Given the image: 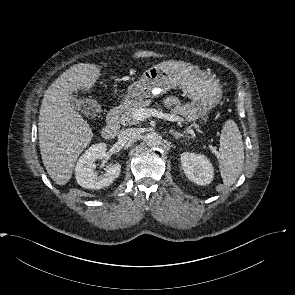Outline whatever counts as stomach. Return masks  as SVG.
Segmentation results:
<instances>
[{"instance_id": "stomach-1", "label": "stomach", "mask_w": 295, "mask_h": 295, "mask_svg": "<svg viewBox=\"0 0 295 295\" xmlns=\"http://www.w3.org/2000/svg\"><path fill=\"white\" fill-rule=\"evenodd\" d=\"M179 87L196 106L198 117L207 122L208 113L222 98L218 81L197 66L183 61H164L145 70L133 82L124 97L125 104L143 98L157 97L173 87Z\"/></svg>"}]
</instances>
